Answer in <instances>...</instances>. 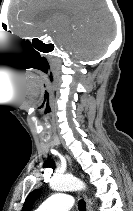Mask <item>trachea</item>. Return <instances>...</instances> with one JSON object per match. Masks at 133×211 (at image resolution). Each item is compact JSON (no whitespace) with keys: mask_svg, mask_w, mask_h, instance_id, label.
Returning <instances> with one entry per match:
<instances>
[{"mask_svg":"<svg viewBox=\"0 0 133 211\" xmlns=\"http://www.w3.org/2000/svg\"><path fill=\"white\" fill-rule=\"evenodd\" d=\"M78 208L80 211H86V203L84 200H80L78 203Z\"/></svg>","mask_w":133,"mask_h":211,"instance_id":"3493384b","label":"trachea"}]
</instances>
